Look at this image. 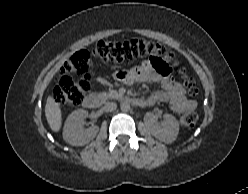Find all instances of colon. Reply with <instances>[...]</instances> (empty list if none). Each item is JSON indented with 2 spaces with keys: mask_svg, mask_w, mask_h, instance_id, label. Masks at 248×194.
<instances>
[{
  "mask_svg": "<svg viewBox=\"0 0 248 194\" xmlns=\"http://www.w3.org/2000/svg\"><path fill=\"white\" fill-rule=\"evenodd\" d=\"M149 56L155 65L173 61L172 55L166 48L150 40H131L114 42L100 40L91 49H82L75 52L60 69V80L55 87L56 100L68 107L78 106L90 90L92 80L91 60L98 58L105 61H128ZM76 77V78H74ZM119 79H124L123 71L117 73ZM183 85L190 96L198 94V88L193 78L185 76ZM195 112H187L180 117V122L185 127H193L197 122Z\"/></svg>",
  "mask_w": 248,
  "mask_h": 194,
  "instance_id": "5ec220e1",
  "label": "colon"
}]
</instances>
